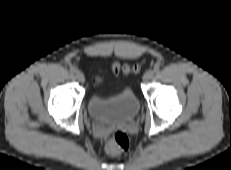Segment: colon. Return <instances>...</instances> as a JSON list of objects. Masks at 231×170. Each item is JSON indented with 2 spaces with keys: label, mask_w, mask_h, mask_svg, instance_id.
I'll return each instance as SVG.
<instances>
[{
  "label": "colon",
  "mask_w": 231,
  "mask_h": 170,
  "mask_svg": "<svg viewBox=\"0 0 231 170\" xmlns=\"http://www.w3.org/2000/svg\"><path fill=\"white\" fill-rule=\"evenodd\" d=\"M112 70L114 73H122V74H129V73H137L141 65H129V64H121L119 62H114L112 64ZM101 81L100 77H96L94 82L99 84ZM129 147V138L128 136L122 132L117 131L115 132L106 142L105 150L110 155H118L121 152L125 151Z\"/></svg>",
  "instance_id": "1"
}]
</instances>
